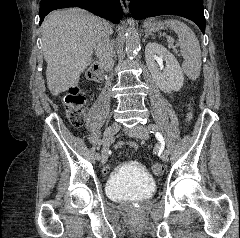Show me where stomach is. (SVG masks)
<instances>
[{
	"label": "stomach",
	"instance_id": "0dacf381",
	"mask_svg": "<svg viewBox=\"0 0 240 238\" xmlns=\"http://www.w3.org/2000/svg\"><path fill=\"white\" fill-rule=\"evenodd\" d=\"M144 27L148 32H157L163 28V25L160 22L147 21L145 22Z\"/></svg>",
	"mask_w": 240,
	"mask_h": 238
}]
</instances>
